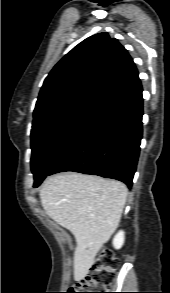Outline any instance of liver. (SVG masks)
<instances>
[{
    "label": "liver",
    "mask_w": 170,
    "mask_h": 293,
    "mask_svg": "<svg viewBox=\"0 0 170 293\" xmlns=\"http://www.w3.org/2000/svg\"><path fill=\"white\" fill-rule=\"evenodd\" d=\"M128 189L122 182L79 173L47 178L40 190L46 214L75 237L74 280L80 281L119 225Z\"/></svg>",
    "instance_id": "obj_1"
}]
</instances>
